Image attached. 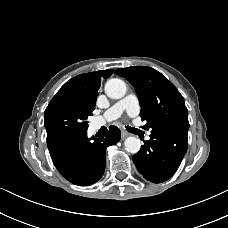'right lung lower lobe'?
Masks as SVG:
<instances>
[{
  "label": "right lung lower lobe",
  "instance_id": "obj_1",
  "mask_svg": "<svg viewBox=\"0 0 228 228\" xmlns=\"http://www.w3.org/2000/svg\"><path fill=\"white\" fill-rule=\"evenodd\" d=\"M120 130L111 126L106 134L87 137V130L63 134L48 143L52 161L58 171L75 185L97 182L105 169V152L120 140Z\"/></svg>",
  "mask_w": 228,
  "mask_h": 228
}]
</instances>
